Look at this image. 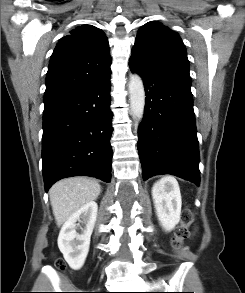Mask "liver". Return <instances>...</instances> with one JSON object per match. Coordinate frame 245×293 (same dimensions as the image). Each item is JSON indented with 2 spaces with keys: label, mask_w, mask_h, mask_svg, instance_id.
Wrapping results in <instances>:
<instances>
[{
  "label": "liver",
  "mask_w": 245,
  "mask_h": 293,
  "mask_svg": "<svg viewBox=\"0 0 245 293\" xmlns=\"http://www.w3.org/2000/svg\"><path fill=\"white\" fill-rule=\"evenodd\" d=\"M101 192L100 184L85 177H73L56 182L49 190L50 202L57 226Z\"/></svg>",
  "instance_id": "liver-1"
}]
</instances>
